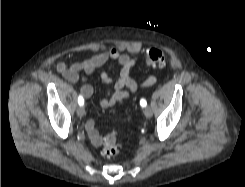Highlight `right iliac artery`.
Listing matches in <instances>:
<instances>
[{
	"instance_id": "1",
	"label": "right iliac artery",
	"mask_w": 245,
	"mask_h": 187,
	"mask_svg": "<svg viewBox=\"0 0 245 187\" xmlns=\"http://www.w3.org/2000/svg\"><path fill=\"white\" fill-rule=\"evenodd\" d=\"M78 104L80 106H83L84 105V98L81 95H79V97H78Z\"/></svg>"
}]
</instances>
